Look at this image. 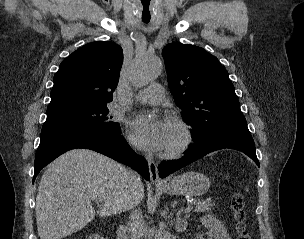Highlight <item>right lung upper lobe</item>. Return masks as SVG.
I'll list each match as a JSON object with an SVG mask.
<instances>
[{
	"label": "right lung upper lobe",
	"instance_id": "cb5924a9",
	"mask_svg": "<svg viewBox=\"0 0 304 239\" xmlns=\"http://www.w3.org/2000/svg\"><path fill=\"white\" fill-rule=\"evenodd\" d=\"M122 62V48L108 41L89 43L73 52L54 75L47 116L111 102Z\"/></svg>",
	"mask_w": 304,
	"mask_h": 239
}]
</instances>
